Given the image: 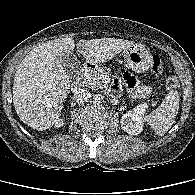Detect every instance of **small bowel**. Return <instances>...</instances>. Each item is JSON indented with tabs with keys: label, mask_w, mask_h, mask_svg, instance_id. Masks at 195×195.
<instances>
[{
	"label": "small bowel",
	"mask_w": 195,
	"mask_h": 195,
	"mask_svg": "<svg viewBox=\"0 0 195 195\" xmlns=\"http://www.w3.org/2000/svg\"><path fill=\"white\" fill-rule=\"evenodd\" d=\"M123 76L132 95L141 96L148 92V88L139 86L137 84L136 79L132 75H130L128 72H124Z\"/></svg>",
	"instance_id": "obj_1"
}]
</instances>
